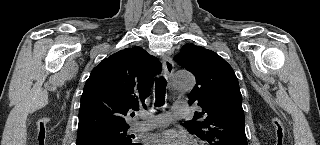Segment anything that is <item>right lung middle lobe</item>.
<instances>
[{
  "mask_svg": "<svg viewBox=\"0 0 320 145\" xmlns=\"http://www.w3.org/2000/svg\"><path fill=\"white\" fill-rule=\"evenodd\" d=\"M129 127L120 128H103L95 130L87 135L101 136L112 141L119 143L120 145H139L132 141L134 138L132 135H127V129Z\"/></svg>",
  "mask_w": 320,
  "mask_h": 145,
  "instance_id": "obj_1",
  "label": "right lung middle lobe"
}]
</instances>
